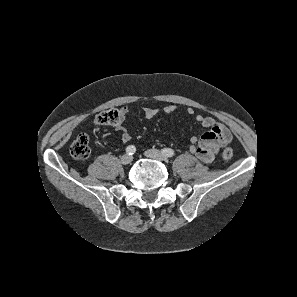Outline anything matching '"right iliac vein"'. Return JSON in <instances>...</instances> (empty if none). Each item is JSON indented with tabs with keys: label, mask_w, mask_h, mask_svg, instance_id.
<instances>
[{
	"label": "right iliac vein",
	"mask_w": 297,
	"mask_h": 297,
	"mask_svg": "<svg viewBox=\"0 0 297 297\" xmlns=\"http://www.w3.org/2000/svg\"><path fill=\"white\" fill-rule=\"evenodd\" d=\"M132 160H133V157L128 154H125L121 157V163L123 165H127V164L131 163Z\"/></svg>",
	"instance_id": "obj_1"
}]
</instances>
